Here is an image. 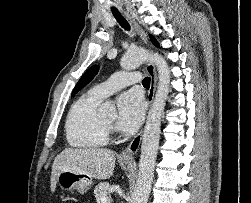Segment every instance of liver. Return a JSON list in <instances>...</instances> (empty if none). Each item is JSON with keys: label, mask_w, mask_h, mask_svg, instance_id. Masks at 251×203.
<instances>
[{"label": "liver", "mask_w": 251, "mask_h": 203, "mask_svg": "<svg viewBox=\"0 0 251 203\" xmlns=\"http://www.w3.org/2000/svg\"><path fill=\"white\" fill-rule=\"evenodd\" d=\"M116 153L100 148H66L56 156L51 172V191L56 189L57 178L62 171L87 174L98 180L113 175Z\"/></svg>", "instance_id": "liver-1"}]
</instances>
